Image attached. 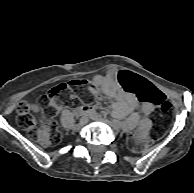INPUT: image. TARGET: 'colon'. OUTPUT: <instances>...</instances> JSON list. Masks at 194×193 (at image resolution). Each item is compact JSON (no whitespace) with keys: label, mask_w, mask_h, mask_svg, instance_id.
Returning a JSON list of instances; mask_svg holds the SVG:
<instances>
[{"label":"colon","mask_w":194,"mask_h":193,"mask_svg":"<svg viewBox=\"0 0 194 193\" xmlns=\"http://www.w3.org/2000/svg\"><path fill=\"white\" fill-rule=\"evenodd\" d=\"M120 84L130 92H133L138 100L144 103L157 105L163 113H168L172 109L170 101L161 93H158L153 86L144 78L136 76L128 71H120L118 74ZM89 83L85 80H73L62 83L50 91V96L57 100L60 94L67 90L80 91L86 94ZM41 111V106L29 102H21L17 105V124L26 131L30 138L37 140L43 146H54L62 139L61 131L53 121H46L37 116L36 113ZM130 149L137 150L139 143L136 139L130 138L128 141Z\"/></svg>","instance_id":"obj_1"}]
</instances>
